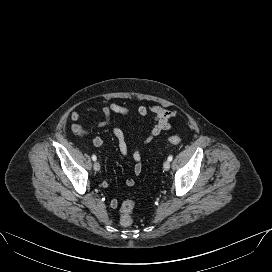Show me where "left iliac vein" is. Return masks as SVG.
<instances>
[{
	"instance_id": "4c4485c4",
	"label": "left iliac vein",
	"mask_w": 272,
	"mask_h": 272,
	"mask_svg": "<svg viewBox=\"0 0 272 272\" xmlns=\"http://www.w3.org/2000/svg\"><path fill=\"white\" fill-rule=\"evenodd\" d=\"M163 168L165 171H168L170 169V162L168 160L164 162Z\"/></svg>"
}]
</instances>
